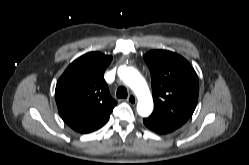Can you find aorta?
I'll list each match as a JSON object with an SVG mask.
<instances>
[{
	"label": "aorta",
	"instance_id": "aorta-1",
	"mask_svg": "<svg viewBox=\"0 0 249 165\" xmlns=\"http://www.w3.org/2000/svg\"><path fill=\"white\" fill-rule=\"evenodd\" d=\"M120 78L127 84L138 98L137 112L142 117H148L153 111V99L145 79L131 67L121 71Z\"/></svg>",
	"mask_w": 249,
	"mask_h": 165
}]
</instances>
